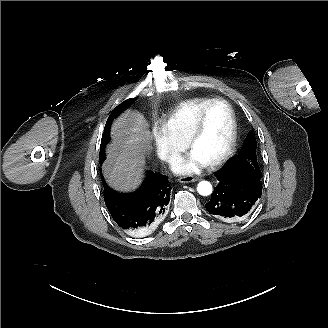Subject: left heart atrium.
<instances>
[{
  "label": "left heart atrium",
  "instance_id": "1",
  "mask_svg": "<svg viewBox=\"0 0 328 328\" xmlns=\"http://www.w3.org/2000/svg\"><path fill=\"white\" fill-rule=\"evenodd\" d=\"M208 164L205 157L191 149L172 164V170L177 174L198 173Z\"/></svg>",
  "mask_w": 328,
  "mask_h": 328
}]
</instances>
